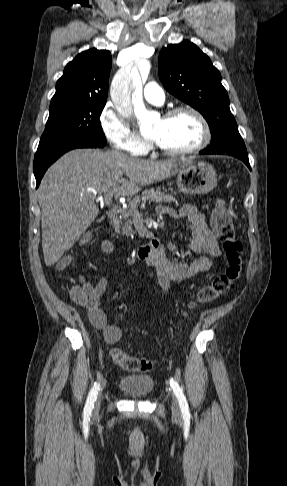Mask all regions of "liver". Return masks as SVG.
I'll list each match as a JSON object with an SVG mask.
<instances>
[{
    "mask_svg": "<svg viewBox=\"0 0 287 486\" xmlns=\"http://www.w3.org/2000/svg\"><path fill=\"white\" fill-rule=\"evenodd\" d=\"M190 160H143L95 149L64 154L47 170L38 189L46 266L58 262L95 220L97 195L112 191L117 197H131L141 187L175 175Z\"/></svg>",
    "mask_w": 287,
    "mask_h": 486,
    "instance_id": "obj_1",
    "label": "liver"
}]
</instances>
